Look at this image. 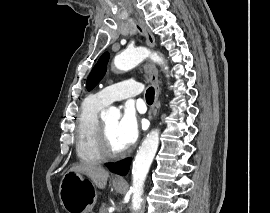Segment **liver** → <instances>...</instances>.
Wrapping results in <instances>:
<instances>
[{"label": "liver", "instance_id": "6515ba94", "mask_svg": "<svg viewBox=\"0 0 270 213\" xmlns=\"http://www.w3.org/2000/svg\"><path fill=\"white\" fill-rule=\"evenodd\" d=\"M69 171L88 176L92 180L93 184L99 189H104L106 187L109 177V172L107 170L101 166L88 163H80L78 165H74L70 168Z\"/></svg>", "mask_w": 270, "mask_h": 213}]
</instances>
